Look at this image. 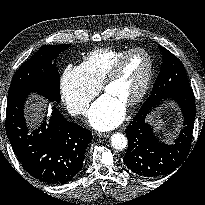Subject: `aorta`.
<instances>
[{
  "mask_svg": "<svg viewBox=\"0 0 205 205\" xmlns=\"http://www.w3.org/2000/svg\"><path fill=\"white\" fill-rule=\"evenodd\" d=\"M127 138L121 133H114L111 136V145L116 150H123L127 147Z\"/></svg>",
  "mask_w": 205,
  "mask_h": 205,
  "instance_id": "obj_1",
  "label": "aorta"
}]
</instances>
